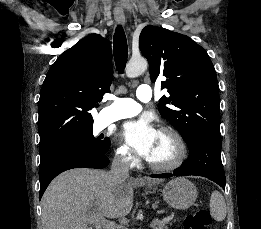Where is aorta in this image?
Masks as SVG:
<instances>
[{
    "label": "aorta",
    "mask_w": 261,
    "mask_h": 229,
    "mask_svg": "<svg viewBox=\"0 0 261 229\" xmlns=\"http://www.w3.org/2000/svg\"><path fill=\"white\" fill-rule=\"evenodd\" d=\"M148 68V62L146 58H130L129 62L126 64V74L130 76V78H134V76H139L142 72H145Z\"/></svg>",
    "instance_id": "762f6f07"
}]
</instances>
